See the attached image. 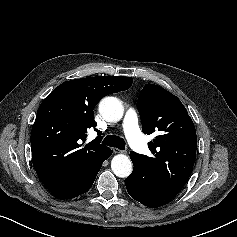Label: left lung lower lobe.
Wrapping results in <instances>:
<instances>
[{
    "instance_id": "obj_1",
    "label": "left lung lower lobe",
    "mask_w": 237,
    "mask_h": 237,
    "mask_svg": "<svg viewBox=\"0 0 237 237\" xmlns=\"http://www.w3.org/2000/svg\"><path fill=\"white\" fill-rule=\"evenodd\" d=\"M125 185L129 195L136 201L150 208H157L169 203L173 198L161 200V199H150L146 194L145 188L140 185L135 177V172L125 179Z\"/></svg>"
}]
</instances>
